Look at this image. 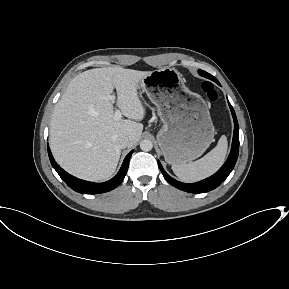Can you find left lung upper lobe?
<instances>
[{
	"instance_id": "5c2ea615",
	"label": "left lung upper lobe",
	"mask_w": 289,
	"mask_h": 289,
	"mask_svg": "<svg viewBox=\"0 0 289 289\" xmlns=\"http://www.w3.org/2000/svg\"><path fill=\"white\" fill-rule=\"evenodd\" d=\"M198 73H199V75H201L203 77H206V78H208V79H210L216 83H219L218 80L214 76H212L211 74H209L203 70H199Z\"/></svg>"
}]
</instances>
